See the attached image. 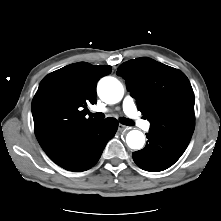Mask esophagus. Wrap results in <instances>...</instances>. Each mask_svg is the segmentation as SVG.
<instances>
[{"label": "esophagus", "mask_w": 221, "mask_h": 221, "mask_svg": "<svg viewBox=\"0 0 221 221\" xmlns=\"http://www.w3.org/2000/svg\"><path fill=\"white\" fill-rule=\"evenodd\" d=\"M127 129H129V128L126 127V126H124V125H122V124H119V125H118V130H119V131H123V130H127Z\"/></svg>", "instance_id": "obj_1"}]
</instances>
